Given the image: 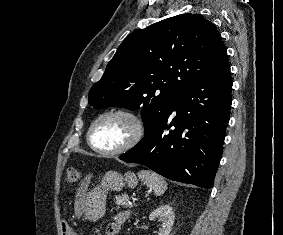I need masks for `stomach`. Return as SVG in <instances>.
Returning a JSON list of instances; mask_svg holds the SVG:
<instances>
[{
	"label": "stomach",
	"mask_w": 283,
	"mask_h": 235,
	"mask_svg": "<svg viewBox=\"0 0 283 235\" xmlns=\"http://www.w3.org/2000/svg\"><path fill=\"white\" fill-rule=\"evenodd\" d=\"M138 184V178L133 172L121 175L116 171L105 173L99 186L81 196L80 209L84 212L87 219L97 221L106 211V197L109 191H121L125 185L133 189Z\"/></svg>",
	"instance_id": "1"
}]
</instances>
